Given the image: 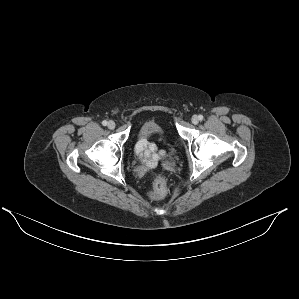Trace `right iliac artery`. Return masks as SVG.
Returning a JSON list of instances; mask_svg holds the SVG:
<instances>
[{"label":"right iliac artery","instance_id":"right-iliac-artery-1","mask_svg":"<svg viewBox=\"0 0 299 299\" xmlns=\"http://www.w3.org/2000/svg\"><path fill=\"white\" fill-rule=\"evenodd\" d=\"M102 125H103V126H106V125H107V121L104 120V121L102 122Z\"/></svg>","mask_w":299,"mask_h":299}]
</instances>
